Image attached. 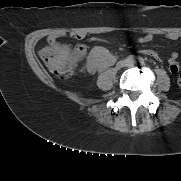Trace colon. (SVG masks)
<instances>
[{"instance_id": "obj_1", "label": "colon", "mask_w": 181, "mask_h": 181, "mask_svg": "<svg viewBox=\"0 0 181 181\" xmlns=\"http://www.w3.org/2000/svg\"><path fill=\"white\" fill-rule=\"evenodd\" d=\"M83 51V46H78L73 51L52 46L43 49L40 57L53 74L60 79H69L74 74L78 55ZM177 82L181 88V74H179Z\"/></svg>"}]
</instances>
